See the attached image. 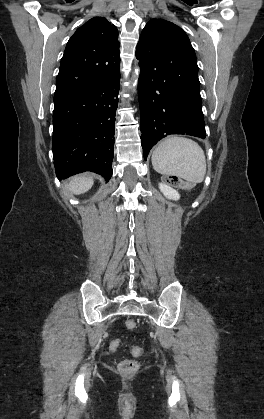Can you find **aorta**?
<instances>
[{
  "label": "aorta",
  "mask_w": 264,
  "mask_h": 419,
  "mask_svg": "<svg viewBox=\"0 0 264 419\" xmlns=\"http://www.w3.org/2000/svg\"><path fill=\"white\" fill-rule=\"evenodd\" d=\"M139 75H140V68L137 67L134 69L133 74H132V87L134 89L137 86Z\"/></svg>",
  "instance_id": "obj_1"
}]
</instances>
